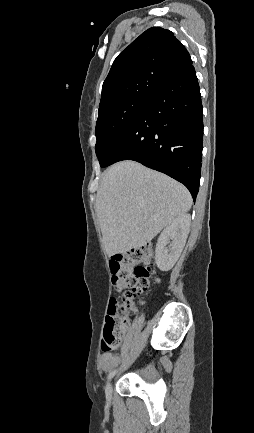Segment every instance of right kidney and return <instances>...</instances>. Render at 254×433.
Wrapping results in <instances>:
<instances>
[{"label":"right kidney","instance_id":"right-kidney-1","mask_svg":"<svg viewBox=\"0 0 254 433\" xmlns=\"http://www.w3.org/2000/svg\"><path fill=\"white\" fill-rule=\"evenodd\" d=\"M191 216L176 218L160 234L155 250V261L161 271L170 270L178 260L189 233Z\"/></svg>","mask_w":254,"mask_h":433}]
</instances>
